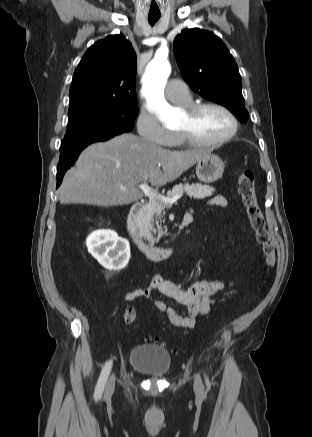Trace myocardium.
<instances>
[{
  "mask_svg": "<svg viewBox=\"0 0 312 437\" xmlns=\"http://www.w3.org/2000/svg\"><path fill=\"white\" fill-rule=\"evenodd\" d=\"M206 108H216L220 111H222L224 114L227 115V117L231 121V129L230 131L223 137L214 139V140H201L197 138L195 135L192 134V132L188 129H179L178 133L180 138L182 139V142L184 144H188L191 146H197V147H209V146H218L221 144H224L231 139H233L237 132H238V120L235 114L225 105L218 103V102H200V103H194L190 104L185 107V113L190 117L193 118L196 114L201 112L202 110Z\"/></svg>",
  "mask_w": 312,
  "mask_h": 437,
  "instance_id": "f54148a6",
  "label": "myocardium"
}]
</instances>
